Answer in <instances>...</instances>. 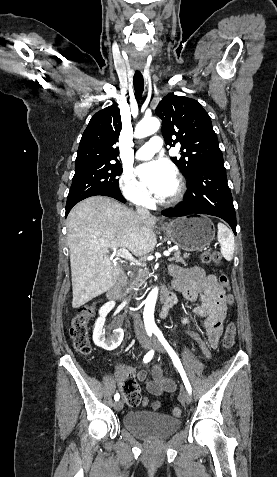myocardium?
I'll use <instances>...</instances> for the list:
<instances>
[{
	"label": "myocardium",
	"mask_w": 277,
	"mask_h": 477,
	"mask_svg": "<svg viewBox=\"0 0 277 477\" xmlns=\"http://www.w3.org/2000/svg\"><path fill=\"white\" fill-rule=\"evenodd\" d=\"M176 184H177V188H176L175 194L169 197L168 199L164 200L162 202L164 205L172 206L179 203L183 199L185 195V191H186L185 182L183 181L182 178H178L176 180Z\"/></svg>",
	"instance_id": "f54148a6"
}]
</instances>
